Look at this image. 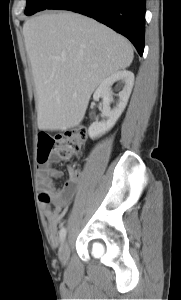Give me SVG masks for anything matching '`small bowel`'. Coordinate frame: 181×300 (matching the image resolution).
I'll use <instances>...</instances> for the list:
<instances>
[{"instance_id":"c3829d8e","label":"small bowel","mask_w":181,"mask_h":300,"mask_svg":"<svg viewBox=\"0 0 181 300\" xmlns=\"http://www.w3.org/2000/svg\"><path fill=\"white\" fill-rule=\"evenodd\" d=\"M50 161L39 166L38 184L40 187L39 201L44 208V215L53 226L57 225L63 213L68 209L71 201L80 188V180L72 175L61 188H56L54 179L62 176V171L52 167Z\"/></svg>"}]
</instances>
